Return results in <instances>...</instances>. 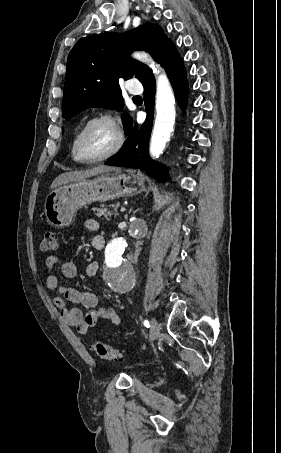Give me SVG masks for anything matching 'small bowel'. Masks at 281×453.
<instances>
[{
	"mask_svg": "<svg viewBox=\"0 0 281 453\" xmlns=\"http://www.w3.org/2000/svg\"><path fill=\"white\" fill-rule=\"evenodd\" d=\"M84 228L88 232H98L100 225L95 220H87L84 223ZM102 244H104V238L94 237L93 245L96 251L102 250ZM57 261L56 256L50 255L46 258L47 270L44 275V281L49 289L58 293V296L53 299V305L59 310L65 321L75 327L81 335L87 334L88 330L96 326L102 319L110 320L114 324L121 323L120 316L113 308L97 307L98 299L93 293L61 284L58 275L52 270ZM99 267L98 262H89L85 267L84 275L86 277L96 276ZM61 273L66 279L77 278L78 269L76 263L73 261L64 262L61 267ZM67 302L81 305L87 309V312L83 313L81 309L70 308L67 306Z\"/></svg>",
	"mask_w": 281,
	"mask_h": 453,
	"instance_id": "obj_1",
	"label": "small bowel"
}]
</instances>
